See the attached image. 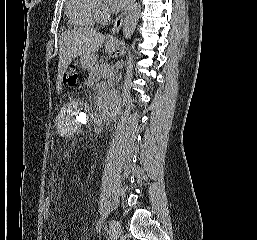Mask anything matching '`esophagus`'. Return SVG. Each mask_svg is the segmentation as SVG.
<instances>
[{"label": "esophagus", "mask_w": 257, "mask_h": 240, "mask_svg": "<svg viewBox=\"0 0 257 240\" xmlns=\"http://www.w3.org/2000/svg\"><path fill=\"white\" fill-rule=\"evenodd\" d=\"M135 2V0H131V5ZM127 14V11L123 12L115 21L114 25H113V28H112V32L113 34L115 35L116 33L119 32L122 24H123V21H124V18ZM114 40V37L112 36L110 38V41H113Z\"/></svg>", "instance_id": "34e87169"}]
</instances>
